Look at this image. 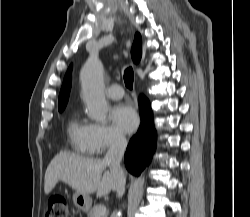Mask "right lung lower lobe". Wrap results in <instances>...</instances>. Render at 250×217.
I'll list each match as a JSON object with an SVG mask.
<instances>
[{
	"mask_svg": "<svg viewBox=\"0 0 250 217\" xmlns=\"http://www.w3.org/2000/svg\"><path fill=\"white\" fill-rule=\"evenodd\" d=\"M139 111L141 124L136 135L131 138L125 153V165L134 175H139L149 165L156 148L153 114L150 103L144 96L139 97Z\"/></svg>",
	"mask_w": 250,
	"mask_h": 217,
	"instance_id": "right-lung-lower-lobe-1",
	"label": "right lung lower lobe"
}]
</instances>
